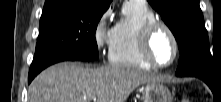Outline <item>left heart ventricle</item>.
Here are the masks:
<instances>
[{
	"instance_id": "obj_1",
	"label": "left heart ventricle",
	"mask_w": 221,
	"mask_h": 102,
	"mask_svg": "<svg viewBox=\"0 0 221 102\" xmlns=\"http://www.w3.org/2000/svg\"><path fill=\"white\" fill-rule=\"evenodd\" d=\"M151 52L154 59L161 64H166L173 58L174 45L166 31L159 30L155 33L151 44Z\"/></svg>"
}]
</instances>
